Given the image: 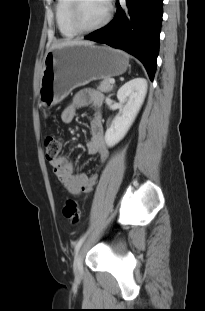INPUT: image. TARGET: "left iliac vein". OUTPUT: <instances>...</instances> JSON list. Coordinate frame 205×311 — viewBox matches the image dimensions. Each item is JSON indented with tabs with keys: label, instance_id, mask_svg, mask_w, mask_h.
<instances>
[{
	"label": "left iliac vein",
	"instance_id": "obj_1",
	"mask_svg": "<svg viewBox=\"0 0 205 311\" xmlns=\"http://www.w3.org/2000/svg\"><path fill=\"white\" fill-rule=\"evenodd\" d=\"M82 262H83V253L80 251L76 254L74 259V271L77 275H80L82 272Z\"/></svg>",
	"mask_w": 205,
	"mask_h": 311
}]
</instances>
